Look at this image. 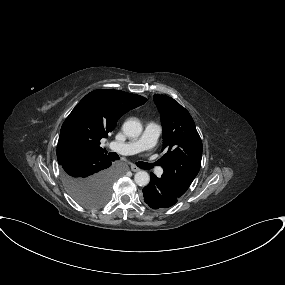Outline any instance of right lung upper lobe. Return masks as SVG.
<instances>
[{
	"mask_svg": "<svg viewBox=\"0 0 285 285\" xmlns=\"http://www.w3.org/2000/svg\"><path fill=\"white\" fill-rule=\"evenodd\" d=\"M147 101L124 91L100 89L87 94L61 127L57 145L59 165L93 153H106L100 140L108 137L117 120Z\"/></svg>",
	"mask_w": 285,
	"mask_h": 285,
	"instance_id": "obj_1",
	"label": "right lung upper lobe"
}]
</instances>
